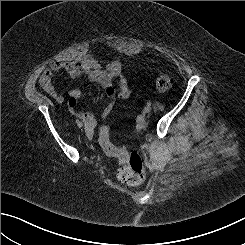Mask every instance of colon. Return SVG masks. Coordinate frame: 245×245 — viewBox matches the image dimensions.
I'll list each match as a JSON object with an SVG mask.
<instances>
[{
    "label": "colon",
    "mask_w": 245,
    "mask_h": 245,
    "mask_svg": "<svg viewBox=\"0 0 245 245\" xmlns=\"http://www.w3.org/2000/svg\"><path fill=\"white\" fill-rule=\"evenodd\" d=\"M173 78L168 74H161L156 79V87L160 91H167L173 86ZM99 143L103 151L118 159L121 164L117 171L119 181L127 185H137L145 179L144 163L138 152H128L116 147L110 139V130L104 126L99 132Z\"/></svg>",
    "instance_id": "1"
}]
</instances>
